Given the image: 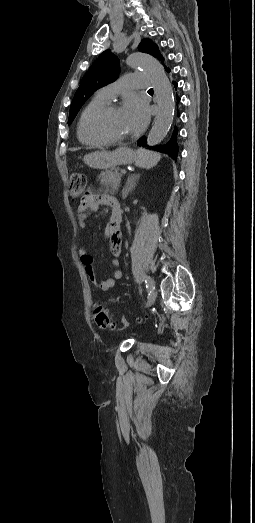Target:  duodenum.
I'll list each match as a JSON object with an SVG mask.
<instances>
[{
	"mask_svg": "<svg viewBox=\"0 0 255 523\" xmlns=\"http://www.w3.org/2000/svg\"><path fill=\"white\" fill-rule=\"evenodd\" d=\"M107 204L111 207V216L109 222L112 225L118 226L122 220V209L120 203L116 199L109 197L107 199Z\"/></svg>",
	"mask_w": 255,
	"mask_h": 523,
	"instance_id": "obj_1",
	"label": "duodenum"
}]
</instances>
